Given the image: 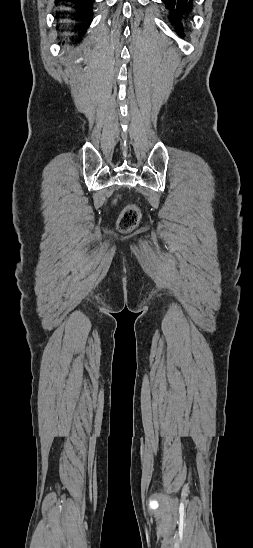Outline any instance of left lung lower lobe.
Here are the masks:
<instances>
[{"label": "left lung lower lobe", "instance_id": "0a47b994", "mask_svg": "<svg viewBox=\"0 0 253 548\" xmlns=\"http://www.w3.org/2000/svg\"><path fill=\"white\" fill-rule=\"evenodd\" d=\"M166 8L169 10V19L174 24L176 31L182 36L181 20L192 14L194 0H163Z\"/></svg>", "mask_w": 253, "mask_h": 548}]
</instances>
